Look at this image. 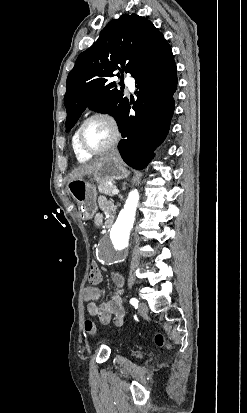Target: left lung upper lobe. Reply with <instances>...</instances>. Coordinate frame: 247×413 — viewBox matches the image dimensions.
Masks as SVG:
<instances>
[{"label": "left lung upper lobe", "mask_w": 247, "mask_h": 413, "mask_svg": "<svg viewBox=\"0 0 247 413\" xmlns=\"http://www.w3.org/2000/svg\"><path fill=\"white\" fill-rule=\"evenodd\" d=\"M166 47L170 46L163 34L144 17L124 14L110 21L96 43L78 56L67 77L66 131L71 130L86 108L109 113L120 126L129 100L123 98L110 77L119 71L122 78L123 72L135 78Z\"/></svg>", "instance_id": "5c2ea615"}]
</instances>
